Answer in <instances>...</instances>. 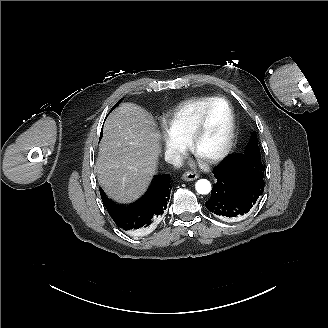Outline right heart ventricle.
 <instances>
[{
    "label": "right heart ventricle",
    "mask_w": 328,
    "mask_h": 328,
    "mask_svg": "<svg viewBox=\"0 0 328 328\" xmlns=\"http://www.w3.org/2000/svg\"><path fill=\"white\" fill-rule=\"evenodd\" d=\"M213 99L212 96L191 98L159 114L156 120L167 139L185 147L201 110Z\"/></svg>",
    "instance_id": "obj_1"
}]
</instances>
